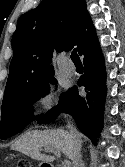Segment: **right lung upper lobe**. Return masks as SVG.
Returning <instances> with one entry per match:
<instances>
[{"label": "right lung upper lobe", "mask_w": 125, "mask_h": 167, "mask_svg": "<svg viewBox=\"0 0 125 167\" xmlns=\"http://www.w3.org/2000/svg\"><path fill=\"white\" fill-rule=\"evenodd\" d=\"M95 35L85 0H43L18 19L4 99L53 78L50 63L54 50L62 52L76 46L80 54Z\"/></svg>", "instance_id": "right-lung-upper-lobe-1"}]
</instances>
